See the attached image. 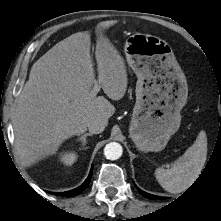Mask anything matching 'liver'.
Returning a JSON list of instances; mask_svg holds the SVG:
<instances>
[{
	"mask_svg": "<svg viewBox=\"0 0 221 221\" xmlns=\"http://www.w3.org/2000/svg\"><path fill=\"white\" fill-rule=\"evenodd\" d=\"M115 23L97 24L95 56L100 87L110 99L120 100L128 84L125 63L103 35ZM90 47V32H78L33 64L13 119L15 147L25 165L54 154L64 140L84 133L93 120L106 126L115 113L106 98L91 96L95 75Z\"/></svg>",
	"mask_w": 221,
	"mask_h": 221,
	"instance_id": "6515ba94",
	"label": "liver"
}]
</instances>
